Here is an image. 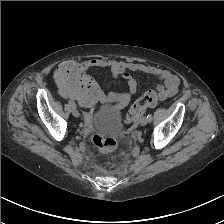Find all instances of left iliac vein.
<instances>
[{
  "instance_id": "obj_1",
  "label": "left iliac vein",
  "mask_w": 224,
  "mask_h": 224,
  "mask_svg": "<svg viewBox=\"0 0 224 224\" xmlns=\"http://www.w3.org/2000/svg\"><path fill=\"white\" fill-rule=\"evenodd\" d=\"M147 123H149V120H148L147 117H142V118L140 119V125H141V126H145V125H147Z\"/></svg>"
}]
</instances>
